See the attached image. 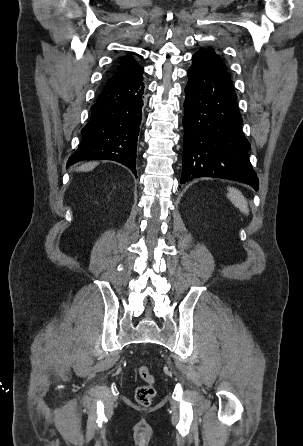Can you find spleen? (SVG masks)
Here are the masks:
<instances>
[{"label": "spleen", "instance_id": "3e777b00", "mask_svg": "<svg viewBox=\"0 0 303 446\" xmlns=\"http://www.w3.org/2000/svg\"><path fill=\"white\" fill-rule=\"evenodd\" d=\"M227 197L242 213L246 215L249 213L248 202L239 190L229 187Z\"/></svg>", "mask_w": 303, "mask_h": 446}]
</instances>
